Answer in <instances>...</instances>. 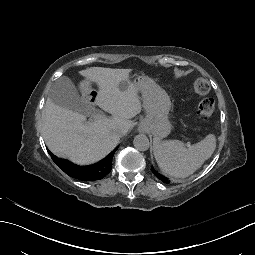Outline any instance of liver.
Returning a JSON list of instances; mask_svg holds the SVG:
<instances>
[{
	"label": "liver",
	"instance_id": "obj_1",
	"mask_svg": "<svg viewBox=\"0 0 255 255\" xmlns=\"http://www.w3.org/2000/svg\"><path fill=\"white\" fill-rule=\"evenodd\" d=\"M132 69L91 67L78 74L96 85L94 104L112 114V118L99 117L85 122V116L78 112L55 105L47 98L43 113V138L49 150L61 158L76 163L96 162L110 153L120 141L115 128L123 121L137 116L148 99L157 96L160 112L167 115L165 108L169 97L155 83L145 86L134 83ZM127 83L122 91L121 84ZM144 93V100L140 96ZM130 124L131 122L128 121Z\"/></svg>",
	"mask_w": 255,
	"mask_h": 255
}]
</instances>
